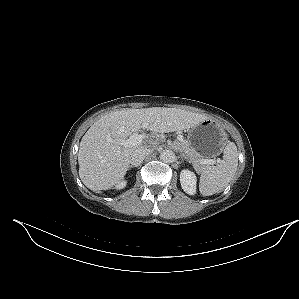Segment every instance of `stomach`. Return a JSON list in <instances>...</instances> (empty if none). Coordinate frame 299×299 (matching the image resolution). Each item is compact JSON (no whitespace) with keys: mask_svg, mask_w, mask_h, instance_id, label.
<instances>
[{"mask_svg":"<svg viewBox=\"0 0 299 299\" xmlns=\"http://www.w3.org/2000/svg\"><path fill=\"white\" fill-rule=\"evenodd\" d=\"M225 130L214 120L206 119L188 129V142L202 158H215L227 145Z\"/></svg>","mask_w":299,"mask_h":299,"instance_id":"1","label":"stomach"}]
</instances>
